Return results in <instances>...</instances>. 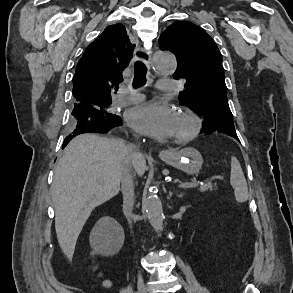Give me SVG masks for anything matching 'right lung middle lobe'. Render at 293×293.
<instances>
[{
  "label": "right lung middle lobe",
  "instance_id": "right-lung-middle-lobe-1",
  "mask_svg": "<svg viewBox=\"0 0 293 293\" xmlns=\"http://www.w3.org/2000/svg\"><path fill=\"white\" fill-rule=\"evenodd\" d=\"M95 103L97 104V106H95L94 108L104 112V113H110V104H111V100L108 99H98L95 101ZM93 107V106H92Z\"/></svg>",
  "mask_w": 293,
  "mask_h": 293
}]
</instances>
